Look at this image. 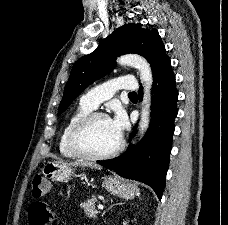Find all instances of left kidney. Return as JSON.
Returning a JSON list of instances; mask_svg holds the SVG:
<instances>
[{"mask_svg":"<svg viewBox=\"0 0 228 225\" xmlns=\"http://www.w3.org/2000/svg\"><path fill=\"white\" fill-rule=\"evenodd\" d=\"M123 225H127V223H123Z\"/></svg>","mask_w":228,"mask_h":225,"instance_id":"obj_1","label":"left kidney"}]
</instances>
